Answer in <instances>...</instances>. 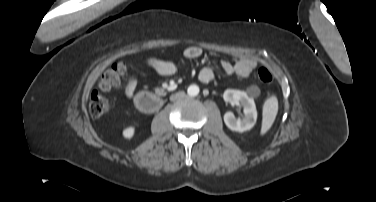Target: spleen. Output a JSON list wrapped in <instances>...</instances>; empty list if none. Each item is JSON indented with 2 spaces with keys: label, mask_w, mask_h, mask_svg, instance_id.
<instances>
[{
  "label": "spleen",
  "mask_w": 376,
  "mask_h": 202,
  "mask_svg": "<svg viewBox=\"0 0 376 202\" xmlns=\"http://www.w3.org/2000/svg\"><path fill=\"white\" fill-rule=\"evenodd\" d=\"M278 111V101L275 96L268 98L263 106L261 134L266 133L273 124Z\"/></svg>",
  "instance_id": "obj_1"
}]
</instances>
